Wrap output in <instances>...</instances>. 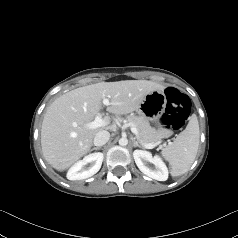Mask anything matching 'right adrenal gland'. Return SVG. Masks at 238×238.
I'll return each instance as SVG.
<instances>
[{"mask_svg": "<svg viewBox=\"0 0 238 238\" xmlns=\"http://www.w3.org/2000/svg\"><path fill=\"white\" fill-rule=\"evenodd\" d=\"M99 149H100V147H94V148L91 149V151H93V150H99Z\"/></svg>", "mask_w": 238, "mask_h": 238, "instance_id": "1", "label": "right adrenal gland"}]
</instances>
